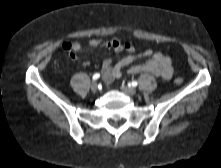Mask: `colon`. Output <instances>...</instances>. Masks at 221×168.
<instances>
[{"instance_id":"colon-1","label":"colon","mask_w":221,"mask_h":168,"mask_svg":"<svg viewBox=\"0 0 221 168\" xmlns=\"http://www.w3.org/2000/svg\"><path fill=\"white\" fill-rule=\"evenodd\" d=\"M174 82H175L176 84H181V83L183 82V79H182L181 77H176V78L174 79Z\"/></svg>"}]
</instances>
